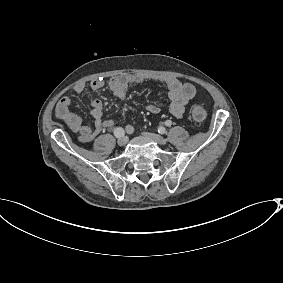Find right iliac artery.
<instances>
[{
    "label": "right iliac artery",
    "instance_id": "obj_1",
    "mask_svg": "<svg viewBox=\"0 0 283 283\" xmlns=\"http://www.w3.org/2000/svg\"><path fill=\"white\" fill-rule=\"evenodd\" d=\"M114 135H115V137L120 138V137H123L125 135V132H124L123 128L118 127L114 130Z\"/></svg>",
    "mask_w": 283,
    "mask_h": 283
}]
</instances>
